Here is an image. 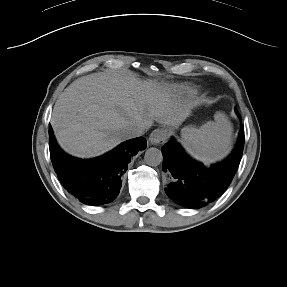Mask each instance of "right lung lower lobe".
<instances>
[{
    "label": "right lung lower lobe",
    "mask_w": 287,
    "mask_h": 287,
    "mask_svg": "<svg viewBox=\"0 0 287 287\" xmlns=\"http://www.w3.org/2000/svg\"><path fill=\"white\" fill-rule=\"evenodd\" d=\"M145 147L146 139L138 137L101 157L81 160L62 151L49 128L51 161L60 182L70 194L89 205L107 204L118 196L131 156Z\"/></svg>",
    "instance_id": "obj_1"
}]
</instances>
